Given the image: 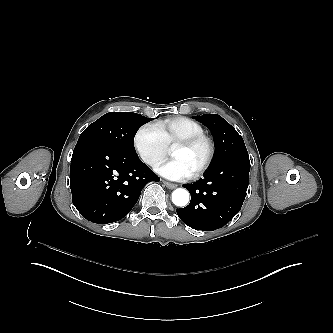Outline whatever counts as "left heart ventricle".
<instances>
[{
    "label": "left heart ventricle",
    "instance_id": "obj_1",
    "mask_svg": "<svg viewBox=\"0 0 333 333\" xmlns=\"http://www.w3.org/2000/svg\"><path fill=\"white\" fill-rule=\"evenodd\" d=\"M206 153L204 146L197 148H186L183 146H176L170 151L172 159H176L184 163L194 173L200 163L202 162Z\"/></svg>",
    "mask_w": 333,
    "mask_h": 333
}]
</instances>
